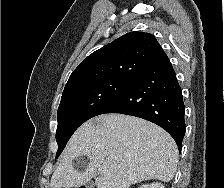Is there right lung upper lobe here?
Instances as JSON below:
<instances>
[{
    "mask_svg": "<svg viewBox=\"0 0 224 188\" xmlns=\"http://www.w3.org/2000/svg\"><path fill=\"white\" fill-rule=\"evenodd\" d=\"M166 59L154 35L130 32L84 59L70 75L65 88L108 78L134 79Z\"/></svg>",
    "mask_w": 224,
    "mask_h": 188,
    "instance_id": "right-lung-upper-lobe-1",
    "label": "right lung upper lobe"
}]
</instances>
